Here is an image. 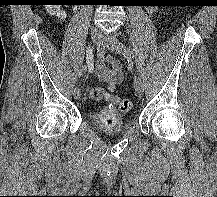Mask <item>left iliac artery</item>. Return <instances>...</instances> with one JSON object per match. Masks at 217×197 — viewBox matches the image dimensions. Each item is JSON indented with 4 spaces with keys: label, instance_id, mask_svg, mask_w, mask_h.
Masks as SVG:
<instances>
[{
    "label": "left iliac artery",
    "instance_id": "obj_1",
    "mask_svg": "<svg viewBox=\"0 0 217 197\" xmlns=\"http://www.w3.org/2000/svg\"><path fill=\"white\" fill-rule=\"evenodd\" d=\"M116 44H117L118 51L122 53L124 57L128 58L129 60H131L134 57V53L131 48L127 47L117 39H116Z\"/></svg>",
    "mask_w": 217,
    "mask_h": 197
}]
</instances>
